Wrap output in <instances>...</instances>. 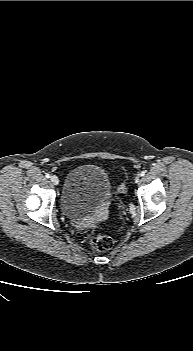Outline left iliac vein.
I'll list each match as a JSON object with an SVG mask.
<instances>
[{
	"mask_svg": "<svg viewBox=\"0 0 193 351\" xmlns=\"http://www.w3.org/2000/svg\"><path fill=\"white\" fill-rule=\"evenodd\" d=\"M139 180H140L139 176H136V177H135V182L138 183Z\"/></svg>",
	"mask_w": 193,
	"mask_h": 351,
	"instance_id": "1",
	"label": "left iliac vein"
}]
</instances>
